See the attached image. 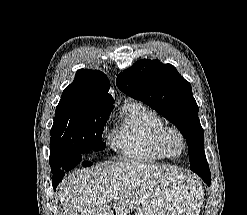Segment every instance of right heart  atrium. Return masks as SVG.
<instances>
[{
    "label": "right heart atrium",
    "mask_w": 247,
    "mask_h": 215,
    "mask_svg": "<svg viewBox=\"0 0 247 215\" xmlns=\"http://www.w3.org/2000/svg\"><path fill=\"white\" fill-rule=\"evenodd\" d=\"M107 128H108V125L105 124V125L103 126V131L106 132V131H107Z\"/></svg>",
    "instance_id": "obj_1"
}]
</instances>
